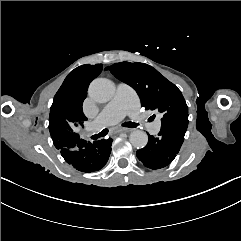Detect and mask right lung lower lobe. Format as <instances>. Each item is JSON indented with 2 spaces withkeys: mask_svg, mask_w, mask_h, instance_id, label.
<instances>
[{
  "mask_svg": "<svg viewBox=\"0 0 241 241\" xmlns=\"http://www.w3.org/2000/svg\"><path fill=\"white\" fill-rule=\"evenodd\" d=\"M112 139L85 141L78 139L60 148L64 160L81 172H95L100 170L108 161L111 153Z\"/></svg>",
  "mask_w": 241,
  "mask_h": 241,
  "instance_id": "obj_1",
  "label": "right lung lower lobe"
}]
</instances>
